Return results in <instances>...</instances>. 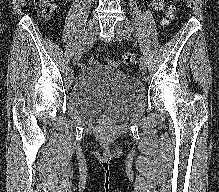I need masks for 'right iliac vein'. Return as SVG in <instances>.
<instances>
[{
  "mask_svg": "<svg viewBox=\"0 0 219 192\" xmlns=\"http://www.w3.org/2000/svg\"><path fill=\"white\" fill-rule=\"evenodd\" d=\"M96 25H97V22H96L95 18H92L89 20L86 31H85L83 39H82V44L78 48L76 55L73 58L74 65H76L79 62L82 54L85 52L86 45H87L88 41L90 40V38L92 37V35L94 34L95 29H96Z\"/></svg>",
  "mask_w": 219,
  "mask_h": 192,
  "instance_id": "obj_1",
  "label": "right iliac vein"
}]
</instances>
